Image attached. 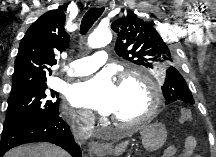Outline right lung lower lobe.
Returning a JSON list of instances; mask_svg holds the SVG:
<instances>
[{"label":"right lung lower lobe","instance_id":"1","mask_svg":"<svg viewBox=\"0 0 216 157\" xmlns=\"http://www.w3.org/2000/svg\"><path fill=\"white\" fill-rule=\"evenodd\" d=\"M37 141L59 145L72 157H82L80 147L75 143L69 126L59 114L30 119L17 126L4 129L0 141V157L13 147Z\"/></svg>","mask_w":216,"mask_h":157}]
</instances>
